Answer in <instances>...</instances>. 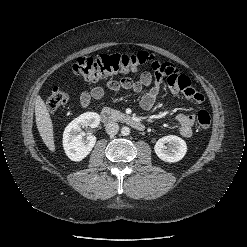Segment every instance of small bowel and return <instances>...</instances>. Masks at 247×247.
Here are the masks:
<instances>
[{
	"instance_id": "small-bowel-1",
	"label": "small bowel",
	"mask_w": 247,
	"mask_h": 247,
	"mask_svg": "<svg viewBox=\"0 0 247 247\" xmlns=\"http://www.w3.org/2000/svg\"><path fill=\"white\" fill-rule=\"evenodd\" d=\"M154 67V75L150 72H143L136 81L129 77L121 78L118 81L107 80L105 87L112 92L126 89L136 93L141 92L145 87H149V90L140 100V106L143 110H150L160 94L162 79L168 77L169 88L174 95L182 94L188 101L197 105L204 101L203 95L192 87L189 78L181 74L175 66L156 61ZM156 71L159 73H156ZM103 95L104 89L97 86L90 92H83L80 96V102L82 106L87 107L92 99L99 100ZM176 121L179 125V133L183 137H190L193 133L195 116L193 114L179 113L176 115Z\"/></svg>"
}]
</instances>
